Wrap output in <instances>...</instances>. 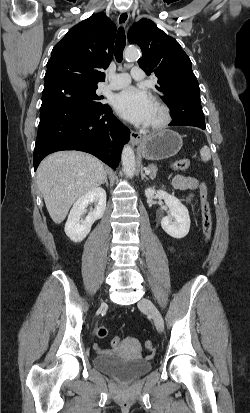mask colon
Instances as JSON below:
<instances>
[{
	"label": "colon",
	"mask_w": 250,
	"mask_h": 413,
	"mask_svg": "<svg viewBox=\"0 0 250 413\" xmlns=\"http://www.w3.org/2000/svg\"><path fill=\"white\" fill-rule=\"evenodd\" d=\"M191 161L189 158H183L172 163L174 170L183 171L189 168ZM200 201H201V213H202V229L205 239L208 241L212 234V219L210 213V207L208 202L207 187L204 183L200 184ZM97 335L100 338H104L108 335V329L105 326H99L97 328ZM121 340L120 334H115L111 341V348L117 349ZM145 348L151 352L153 350V343L151 341L145 342Z\"/></svg>",
	"instance_id": "obj_1"
}]
</instances>
